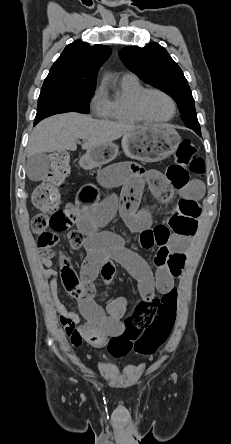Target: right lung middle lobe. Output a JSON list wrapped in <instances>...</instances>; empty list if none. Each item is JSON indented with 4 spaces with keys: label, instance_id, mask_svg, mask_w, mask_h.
I'll use <instances>...</instances> for the list:
<instances>
[{
    "label": "right lung middle lobe",
    "instance_id": "dd1d6c3e",
    "mask_svg": "<svg viewBox=\"0 0 231 444\" xmlns=\"http://www.w3.org/2000/svg\"><path fill=\"white\" fill-rule=\"evenodd\" d=\"M95 88H46L41 89L34 125L54 114L76 111L88 113V103Z\"/></svg>",
    "mask_w": 231,
    "mask_h": 444
}]
</instances>
